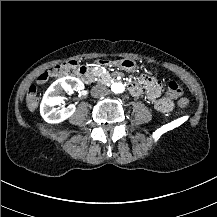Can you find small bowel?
Wrapping results in <instances>:
<instances>
[{"label":"small bowel","instance_id":"c3829d8e","mask_svg":"<svg viewBox=\"0 0 217 217\" xmlns=\"http://www.w3.org/2000/svg\"><path fill=\"white\" fill-rule=\"evenodd\" d=\"M140 84L148 90V99L154 108L161 113H169L173 109V102L170 97L159 98L160 82L154 77H142ZM142 89L131 92L133 96H139Z\"/></svg>","mask_w":217,"mask_h":217}]
</instances>
